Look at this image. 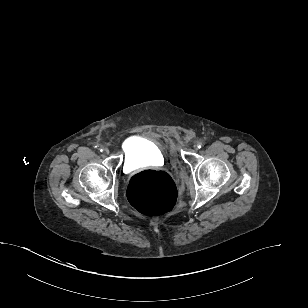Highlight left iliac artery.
Here are the masks:
<instances>
[{"mask_svg":"<svg viewBox=\"0 0 308 308\" xmlns=\"http://www.w3.org/2000/svg\"><path fill=\"white\" fill-rule=\"evenodd\" d=\"M203 146L202 142H198V148H201Z\"/></svg>","mask_w":308,"mask_h":308,"instance_id":"44dca946","label":"left iliac artery"}]
</instances>
